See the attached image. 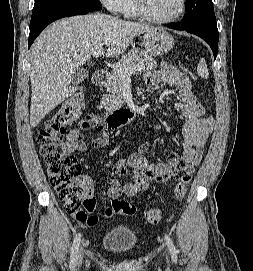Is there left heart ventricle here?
Masks as SVG:
<instances>
[{
	"label": "left heart ventricle",
	"mask_w": 253,
	"mask_h": 271,
	"mask_svg": "<svg viewBox=\"0 0 253 271\" xmlns=\"http://www.w3.org/2000/svg\"><path fill=\"white\" fill-rule=\"evenodd\" d=\"M149 14L158 18H168L177 13L180 0H145Z\"/></svg>",
	"instance_id": "1"
}]
</instances>
